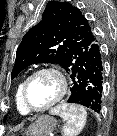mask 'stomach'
I'll return each instance as SVG.
<instances>
[{
  "mask_svg": "<svg viewBox=\"0 0 117 136\" xmlns=\"http://www.w3.org/2000/svg\"><path fill=\"white\" fill-rule=\"evenodd\" d=\"M55 127L56 120L53 117L49 115H42L38 117V119L28 127L26 135L48 136L54 131Z\"/></svg>",
  "mask_w": 117,
  "mask_h": 136,
  "instance_id": "1",
  "label": "stomach"
}]
</instances>
